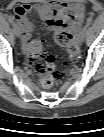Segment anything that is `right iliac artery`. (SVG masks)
<instances>
[{
	"instance_id": "obj_1",
	"label": "right iliac artery",
	"mask_w": 104,
	"mask_h": 137,
	"mask_svg": "<svg viewBox=\"0 0 104 137\" xmlns=\"http://www.w3.org/2000/svg\"><path fill=\"white\" fill-rule=\"evenodd\" d=\"M8 20H9L13 25H15L14 18H13L12 15L8 16Z\"/></svg>"
}]
</instances>
